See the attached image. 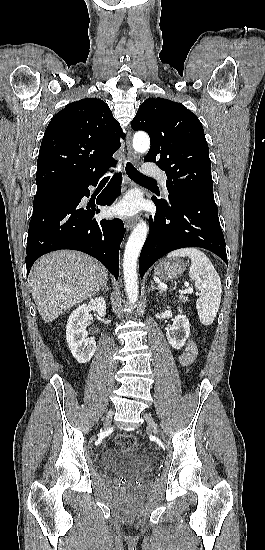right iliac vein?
Wrapping results in <instances>:
<instances>
[{"label":"right iliac vein","mask_w":265,"mask_h":550,"mask_svg":"<svg viewBox=\"0 0 265 550\" xmlns=\"http://www.w3.org/2000/svg\"><path fill=\"white\" fill-rule=\"evenodd\" d=\"M113 413L110 412L108 416L105 418L104 426H109L112 422Z\"/></svg>","instance_id":"right-iliac-vein-1"}]
</instances>
